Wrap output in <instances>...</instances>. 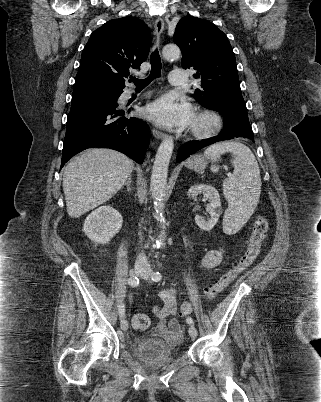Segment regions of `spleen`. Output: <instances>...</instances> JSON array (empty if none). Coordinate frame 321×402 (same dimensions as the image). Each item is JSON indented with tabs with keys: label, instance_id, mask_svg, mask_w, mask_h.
I'll use <instances>...</instances> for the list:
<instances>
[{
	"label": "spleen",
	"instance_id": "spleen-1",
	"mask_svg": "<svg viewBox=\"0 0 321 402\" xmlns=\"http://www.w3.org/2000/svg\"><path fill=\"white\" fill-rule=\"evenodd\" d=\"M230 152L234 172L223 180V194L228 201L224 213L223 230L226 234L237 232L253 214L261 194V176L257 160L252 151L237 141H224L208 147L204 151L207 159L216 162L221 155ZM215 165L213 173L218 172Z\"/></svg>",
	"mask_w": 321,
	"mask_h": 402
}]
</instances>
